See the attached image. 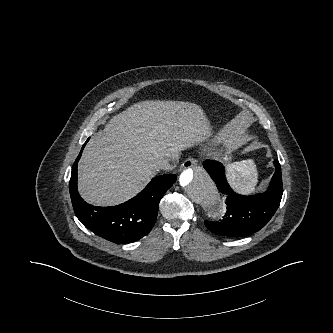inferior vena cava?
Instances as JSON below:
<instances>
[{"mask_svg": "<svg viewBox=\"0 0 333 333\" xmlns=\"http://www.w3.org/2000/svg\"><path fill=\"white\" fill-rule=\"evenodd\" d=\"M157 170H166L169 171L173 166L169 163V160L159 161L155 164Z\"/></svg>", "mask_w": 333, "mask_h": 333, "instance_id": "inferior-vena-cava-1", "label": "inferior vena cava"}]
</instances>
